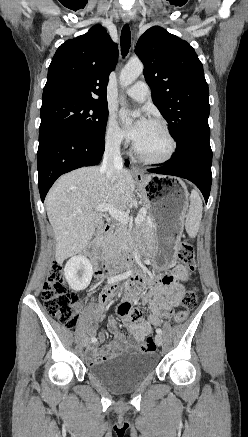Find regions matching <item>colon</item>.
Instances as JSON below:
<instances>
[{
	"instance_id": "obj_1",
	"label": "colon",
	"mask_w": 248,
	"mask_h": 437,
	"mask_svg": "<svg viewBox=\"0 0 248 437\" xmlns=\"http://www.w3.org/2000/svg\"><path fill=\"white\" fill-rule=\"evenodd\" d=\"M177 254L183 264L192 270L195 268L194 249L189 243L180 242ZM42 299L49 314L68 328L76 326L79 319L78 297L75 292L68 288L64 270L60 264H52L42 286ZM197 300L195 288L186 291L181 301L182 310L178 311L174 317L176 323H182L187 319L189 312L196 306ZM140 350L143 353L154 352L156 345L153 338H147Z\"/></svg>"
}]
</instances>
